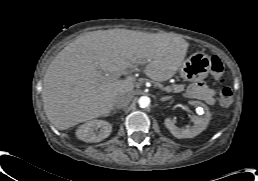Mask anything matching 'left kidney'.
<instances>
[{
	"mask_svg": "<svg viewBox=\"0 0 258 181\" xmlns=\"http://www.w3.org/2000/svg\"><path fill=\"white\" fill-rule=\"evenodd\" d=\"M189 104L197 106L199 116H194L192 121L193 126L183 129L177 127L169 118L165 119L166 128L177 138H192L204 131L211 119V113L207 106L200 101H190Z\"/></svg>",
	"mask_w": 258,
	"mask_h": 181,
	"instance_id": "obj_1",
	"label": "left kidney"
}]
</instances>
